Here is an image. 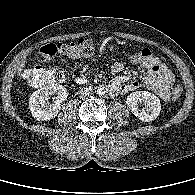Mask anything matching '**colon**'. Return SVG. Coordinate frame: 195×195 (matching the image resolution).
I'll list each match as a JSON object with an SVG mask.
<instances>
[{
  "label": "colon",
  "mask_w": 195,
  "mask_h": 195,
  "mask_svg": "<svg viewBox=\"0 0 195 195\" xmlns=\"http://www.w3.org/2000/svg\"><path fill=\"white\" fill-rule=\"evenodd\" d=\"M95 55L93 43L88 38H80L75 42L69 43H48L40 49V60L48 62L56 56H68L72 58L92 59ZM154 55L147 49H138L131 52L128 58L131 62L152 67L154 65ZM23 78L31 87L61 84L66 81V74L59 68H43L41 66L32 67L24 70ZM183 89L177 85L172 90V98L179 99Z\"/></svg>",
  "instance_id": "5ec220e1"
}]
</instances>
